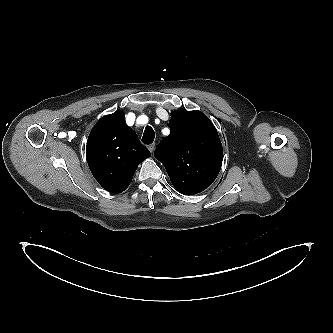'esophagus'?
I'll list each match as a JSON object with an SVG mask.
<instances>
[{"label":"esophagus","mask_w":333,"mask_h":333,"mask_svg":"<svg viewBox=\"0 0 333 333\" xmlns=\"http://www.w3.org/2000/svg\"><path fill=\"white\" fill-rule=\"evenodd\" d=\"M148 149L151 153H153L154 149H155V143H152V144L148 145Z\"/></svg>","instance_id":"esophagus-1"}]
</instances>
